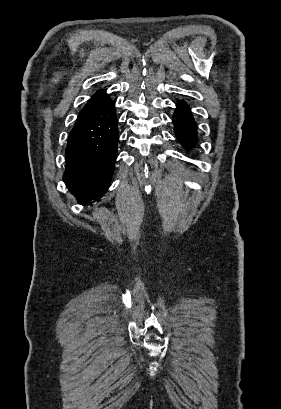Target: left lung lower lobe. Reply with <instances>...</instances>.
Listing matches in <instances>:
<instances>
[{
    "mask_svg": "<svg viewBox=\"0 0 281 409\" xmlns=\"http://www.w3.org/2000/svg\"><path fill=\"white\" fill-rule=\"evenodd\" d=\"M173 116L176 137L186 149H192L197 142V126L189 106L185 102L177 103Z\"/></svg>",
    "mask_w": 281,
    "mask_h": 409,
    "instance_id": "0a47b994",
    "label": "left lung lower lobe"
}]
</instances>
